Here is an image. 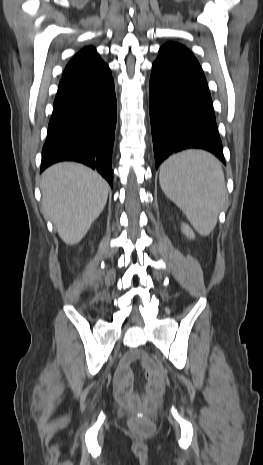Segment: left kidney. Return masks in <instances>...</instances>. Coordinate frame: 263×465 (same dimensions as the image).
<instances>
[{"label":"left kidney","instance_id":"obj_1","mask_svg":"<svg viewBox=\"0 0 263 465\" xmlns=\"http://www.w3.org/2000/svg\"><path fill=\"white\" fill-rule=\"evenodd\" d=\"M182 232L184 235H186V237H188L189 239H193L194 238V233L193 231L189 228V226H187L186 224H182Z\"/></svg>","mask_w":263,"mask_h":465}]
</instances>
